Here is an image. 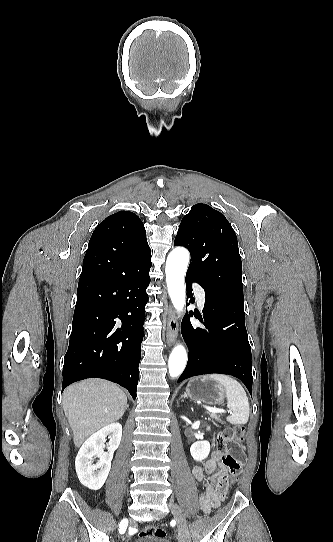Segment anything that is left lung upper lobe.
I'll return each mask as SVG.
<instances>
[{"label": "left lung upper lobe", "instance_id": "obj_1", "mask_svg": "<svg viewBox=\"0 0 333 542\" xmlns=\"http://www.w3.org/2000/svg\"><path fill=\"white\" fill-rule=\"evenodd\" d=\"M174 245L190 251L187 274L204 290L244 298L237 236L223 214L206 204L194 205L183 217Z\"/></svg>", "mask_w": 333, "mask_h": 542}]
</instances>
